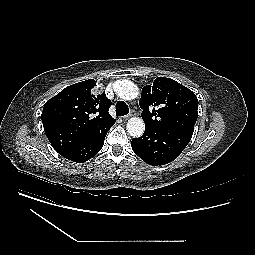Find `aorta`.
Returning <instances> with one entry per match:
<instances>
[{
	"label": "aorta",
	"instance_id": "obj_1",
	"mask_svg": "<svg viewBox=\"0 0 255 255\" xmlns=\"http://www.w3.org/2000/svg\"><path fill=\"white\" fill-rule=\"evenodd\" d=\"M115 91L124 100H133L139 94L137 85L128 80L116 82ZM126 129L132 137H140L145 130L144 121L139 117H132L128 120Z\"/></svg>",
	"mask_w": 255,
	"mask_h": 255
}]
</instances>
